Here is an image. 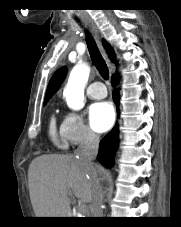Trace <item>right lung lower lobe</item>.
Masks as SVG:
<instances>
[{
  "label": "right lung lower lobe",
  "instance_id": "98d812e1",
  "mask_svg": "<svg viewBox=\"0 0 181 227\" xmlns=\"http://www.w3.org/2000/svg\"><path fill=\"white\" fill-rule=\"evenodd\" d=\"M119 77L117 74L112 76V85H118ZM113 99L118 107L119 105V93L116 91L112 94ZM118 146V125H115L113 129L101 140L99 145V152L97 159L105 167H111L115 151Z\"/></svg>",
  "mask_w": 181,
  "mask_h": 227
}]
</instances>
